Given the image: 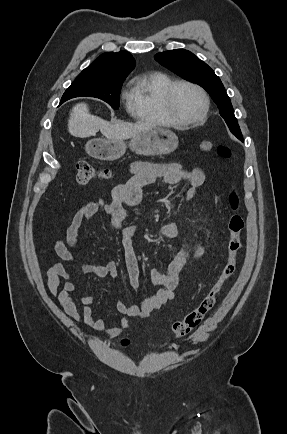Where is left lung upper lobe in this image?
I'll return each instance as SVG.
<instances>
[{"instance_id": "5c2ea615", "label": "left lung upper lobe", "mask_w": 287, "mask_h": 434, "mask_svg": "<svg viewBox=\"0 0 287 434\" xmlns=\"http://www.w3.org/2000/svg\"><path fill=\"white\" fill-rule=\"evenodd\" d=\"M155 60L185 80L202 86L217 104L220 115L224 118L230 131L243 140L240 127L234 115L233 107L224 90V86L214 71L188 50L175 49L157 53Z\"/></svg>"}]
</instances>
